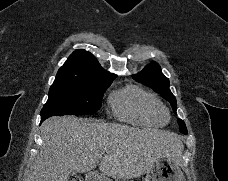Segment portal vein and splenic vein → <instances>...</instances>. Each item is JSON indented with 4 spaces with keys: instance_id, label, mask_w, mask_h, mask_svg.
Listing matches in <instances>:
<instances>
[{
    "instance_id": "portal-vein-and-splenic-vein-1",
    "label": "portal vein and splenic vein",
    "mask_w": 228,
    "mask_h": 181,
    "mask_svg": "<svg viewBox=\"0 0 228 181\" xmlns=\"http://www.w3.org/2000/svg\"><path fill=\"white\" fill-rule=\"evenodd\" d=\"M105 151H100V155L102 157V155H104Z\"/></svg>"
}]
</instances>
